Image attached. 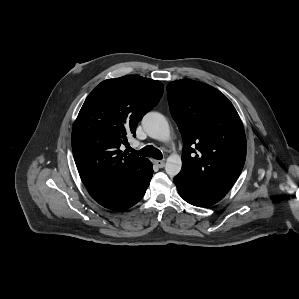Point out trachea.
Returning <instances> with one entry per match:
<instances>
[{"mask_svg":"<svg viewBox=\"0 0 299 299\" xmlns=\"http://www.w3.org/2000/svg\"><path fill=\"white\" fill-rule=\"evenodd\" d=\"M130 151L132 153H135L137 155H140V156H145V157H152L154 159H162L163 158V155L161 153V151L155 147H153L152 145H147L145 146L144 148H142L141 150H134L132 148H130Z\"/></svg>","mask_w":299,"mask_h":299,"instance_id":"trachea-1","label":"trachea"}]
</instances>
